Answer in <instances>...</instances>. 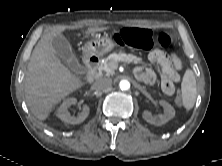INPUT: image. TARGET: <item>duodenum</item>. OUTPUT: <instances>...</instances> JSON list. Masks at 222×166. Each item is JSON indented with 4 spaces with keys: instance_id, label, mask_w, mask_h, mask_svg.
Returning <instances> with one entry per match:
<instances>
[{
    "instance_id": "duodenum-1",
    "label": "duodenum",
    "mask_w": 222,
    "mask_h": 166,
    "mask_svg": "<svg viewBox=\"0 0 222 166\" xmlns=\"http://www.w3.org/2000/svg\"><path fill=\"white\" fill-rule=\"evenodd\" d=\"M84 63L88 69L87 81L88 83L92 84L97 76V70L100 64V59L94 54L87 53L84 56Z\"/></svg>"
}]
</instances>
